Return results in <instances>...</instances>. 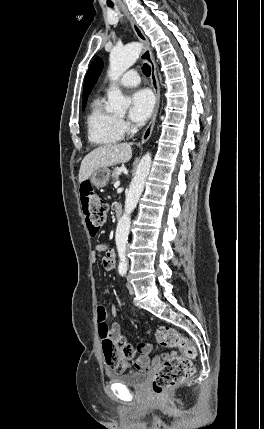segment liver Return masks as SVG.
<instances>
[{
	"mask_svg": "<svg viewBox=\"0 0 264 429\" xmlns=\"http://www.w3.org/2000/svg\"><path fill=\"white\" fill-rule=\"evenodd\" d=\"M132 157V148L127 143L100 146L87 154L81 162L79 182L87 180L96 170L119 163H126Z\"/></svg>",
	"mask_w": 264,
	"mask_h": 429,
	"instance_id": "obj_1",
	"label": "liver"
}]
</instances>
